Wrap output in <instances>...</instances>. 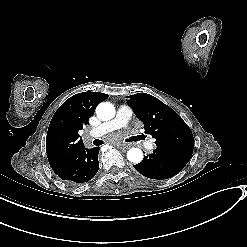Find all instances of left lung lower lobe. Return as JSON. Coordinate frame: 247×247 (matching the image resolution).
Instances as JSON below:
<instances>
[{
    "mask_svg": "<svg viewBox=\"0 0 247 247\" xmlns=\"http://www.w3.org/2000/svg\"><path fill=\"white\" fill-rule=\"evenodd\" d=\"M189 159L165 150L156 148L149 156H144L142 162L134 165V168L151 179H168L179 173Z\"/></svg>",
    "mask_w": 247,
    "mask_h": 247,
    "instance_id": "0a47b994",
    "label": "left lung lower lobe"
}]
</instances>
